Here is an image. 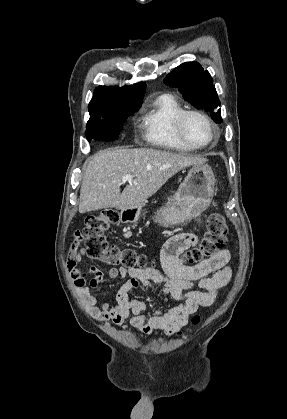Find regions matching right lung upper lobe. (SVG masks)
<instances>
[{
  "instance_id": "cb5924a9",
  "label": "right lung upper lobe",
  "mask_w": 287,
  "mask_h": 419,
  "mask_svg": "<svg viewBox=\"0 0 287 419\" xmlns=\"http://www.w3.org/2000/svg\"><path fill=\"white\" fill-rule=\"evenodd\" d=\"M144 82L131 86L106 87L99 86L88 105L90 114L103 110H111L129 106H141L145 94Z\"/></svg>"
}]
</instances>
